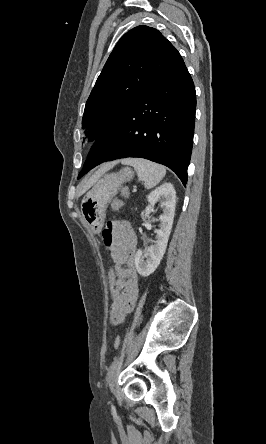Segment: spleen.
I'll list each match as a JSON object with an SVG mask.
<instances>
[{
    "label": "spleen",
    "mask_w": 266,
    "mask_h": 444,
    "mask_svg": "<svg viewBox=\"0 0 266 444\" xmlns=\"http://www.w3.org/2000/svg\"><path fill=\"white\" fill-rule=\"evenodd\" d=\"M122 164L134 167L138 178L144 181L146 189L155 187L166 174L164 166L143 158H126L122 160Z\"/></svg>",
    "instance_id": "3e777b00"
}]
</instances>
